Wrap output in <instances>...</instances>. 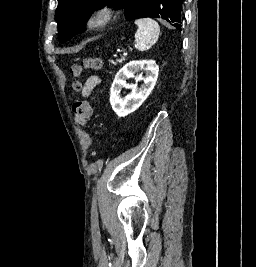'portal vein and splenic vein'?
Returning a JSON list of instances; mask_svg holds the SVG:
<instances>
[{"mask_svg": "<svg viewBox=\"0 0 256 267\" xmlns=\"http://www.w3.org/2000/svg\"><path fill=\"white\" fill-rule=\"evenodd\" d=\"M130 52H131V49L130 48H127L126 51L124 52V55L125 56H128Z\"/></svg>", "mask_w": 256, "mask_h": 267, "instance_id": "obj_1", "label": "portal vein and splenic vein"}]
</instances>
